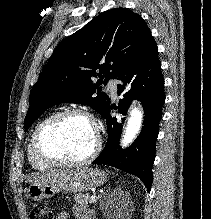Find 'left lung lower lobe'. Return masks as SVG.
<instances>
[{"instance_id":"obj_1","label":"left lung lower lobe","mask_w":211,"mask_h":219,"mask_svg":"<svg viewBox=\"0 0 211 219\" xmlns=\"http://www.w3.org/2000/svg\"><path fill=\"white\" fill-rule=\"evenodd\" d=\"M117 79L121 81V84H118V94H123L124 97L119 102V112L125 115L131 101L137 97L143 105L144 125L135 142L129 148L121 149L119 139L125 118H112L110 110L113 106H109L102 115L107 123V143L92 164H104L133 174L139 177L150 191L155 143L165 101L158 48L151 35Z\"/></svg>"}]
</instances>
